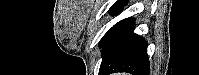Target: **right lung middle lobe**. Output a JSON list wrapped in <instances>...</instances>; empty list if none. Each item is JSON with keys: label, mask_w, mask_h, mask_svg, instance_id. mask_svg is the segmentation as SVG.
<instances>
[{"label": "right lung middle lobe", "mask_w": 199, "mask_h": 75, "mask_svg": "<svg viewBox=\"0 0 199 75\" xmlns=\"http://www.w3.org/2000/svg\"><path fill=\"white\" fill-rule=\"evenodd\" d=\"M126 3H127L126 0H120V1L116 2V3L114 4V6H112V7L110 8V13H111L112 15L118 14L119 12L122 11L123 6H125ZM102 40H103V38L101 39L100 44H101Z\"/></svg>", "instance_id": "obj_1"}]
</instances>
